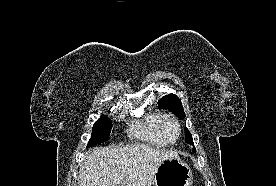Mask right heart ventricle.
<instances>
[{"label":"right heart ventricle","mask_w":276,"mask_h":186,"mask_svg":"<svg viewBox=\"0 0 276 186\" xmlns=\"http://www.w3.org/2000/svg\"><path fill=\"white\" fill-rule=\"evenodd\" d=\"M162 114L160 113H151L141 121H138L131 125L130 133L151 145L157 147H165L169 143L166 142L160 134L159 131V122Z\"/></svg>","instance_id":"obj_1"}]
</instances>
